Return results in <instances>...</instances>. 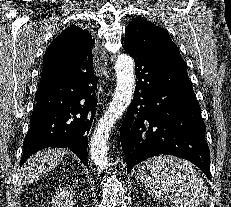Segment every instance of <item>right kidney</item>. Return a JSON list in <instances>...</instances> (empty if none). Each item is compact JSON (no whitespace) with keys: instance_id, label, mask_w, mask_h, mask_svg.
Returning a JSON list of instances; mask_svg holds the SVG:
<instances>
[{"instance_id":"right-kidney-1","label":"right kidney","mask_w":231,"mask_h":207,"mask_svg":"<svg viewBox=\"0 0 231 207\" xmlns=\"http://www.w3.org/2000/svg\"><path fill=\"white\" fill-rule=\"evenodd\" d=\"M72 192L64 188L54 194L51 200V207H72Z\"/></svg>"}]
</instances>
